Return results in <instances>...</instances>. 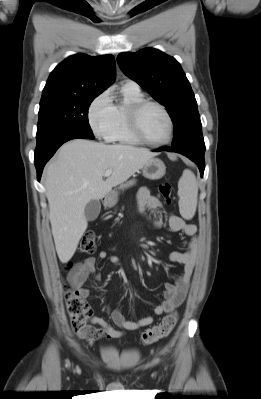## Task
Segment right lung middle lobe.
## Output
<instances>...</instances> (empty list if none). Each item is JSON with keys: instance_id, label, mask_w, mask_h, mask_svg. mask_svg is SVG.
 Wrapping results in <instances>:
<instances>
[{"instance_id": "1", "label": "right lung middle lobe", "mask_w": 261, "mask_h": 399, "mask_svg": "<svg viewBox=\"0 0 261 399\" xmlns=\"http://www.w3.org/2000/svg\"><path fill=\"white\" fill-rule=\"evenodd\" d=\"M97 96H42L36 138L60 128L93 135L88 122V109Z\"/></svg>"}]
</instances>
